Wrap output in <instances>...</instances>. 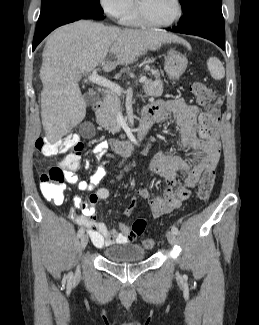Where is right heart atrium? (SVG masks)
<instances>
[{"label":"right heart atrium","instance_id":"d8ad5b80","mask_svg":"<svg viewBox=\"0 0 259 325\" xmlns=\"http://www.w3.org/2000/svg\"><path fill=\"white\" fill-rule=\"evenodd\" d=\"M99 4L114 18H122L134 8V0H99Z\"/></svg>","mask_w":259,"mask_h":325}]
</instances>
